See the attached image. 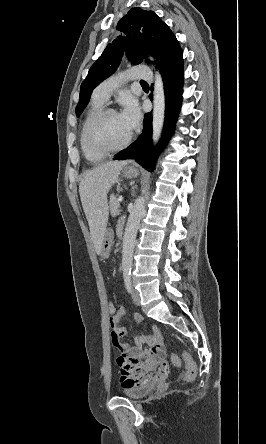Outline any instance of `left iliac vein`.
Here are the masks:
<instances>
[{
    "label": "left iliac vein",
    "instance_id": "1",
    "mask_svg": "<svg viewBox=\"0 0 266 444\" xmlns=\"http://www.w3.org/2000/svg\"><path fill=\"white\" fill-rule=\"evenodd\" d=\"M132 300L135 305H137V306L140 305V301H141L140 294H139L138 290H136V289L132 290Z\"/></svg>",
    "mask_w": 266,
    "mask_h": 444
}]
</instances>
